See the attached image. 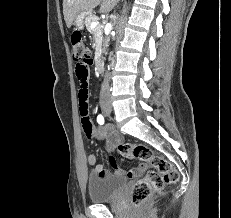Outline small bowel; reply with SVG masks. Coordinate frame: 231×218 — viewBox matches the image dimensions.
I'll use <instances>...</instances> for the list:
<instances>
[{
  "mask_svg": "<svg viewBox=\"0 0 231 218\" xmlns=\"http://www.w3.org/2000/svg\"><path fill=\"white\" fill-rule=\"evenodd\" d=\"M92 60H82L81 63L75 64L76 70V77L80 82V89H79V108L81 115L83 116L82 125L83 131L87 137H92L94 134V129L92 125V121L88 117L89 114V89H88V80L89 74L91 70L89 69V65H92ZM101 136L106 139V146L108 150H112L121 143L120 135L111 127L106 126L103 127L101 130ZM87 162L90 166L93 167V172L99 176H108L109 171L105 169L101 164L97 163V158L94 154H90L87 157ZM109 163L111 167L114 169L115 174L120 176H125L128 178H133L136 176L141 175L147 169V164L140 163L137 167L123 170L118 167L116 159L111 156L109 158Z\"/></svg>",
  "mask_w": 231,
  "mask_h": 218,
  "instance_id": "c3829d8e",
  "label": "small bowel"
}]
</instances>
